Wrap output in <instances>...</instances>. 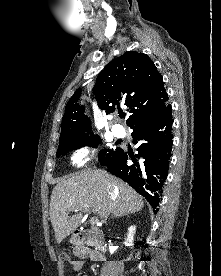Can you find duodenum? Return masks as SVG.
Listing matches in <instances>:
<instances>
[{
  "label": "duodenum",
  "instance_id": "obj_1",
  "mask_svg": "<svg viewBox=\"0 0 221 276\" xmlns=\"http://www.w3.org/2000/svg\"><path fill=\"white\" fill-rule=\"evenodd\" d=\"M76 243L82 247L84 244H91L95 251L100 254L106 250V245L101 232L92 229H84L75 231Z\"/></svg>",
  "mask_w": 221,
  "mask_h": 276
}]
</instances>
